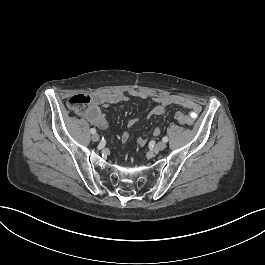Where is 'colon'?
Here are the masks:
<instances>
[{
	"instance_id": "colon-1",
	"label": "colon",
	"mask_w": 265,
	"mask_h": 265,
	"mask_svg": "<svg viewBox=\"0 0 265 265\" xmlns=\"http://www.w3.org/2000/svg\"><path fill=\"white\" fill-rule=\"evenodd\" d=\"M91 101V98L89 96V94L85 93V92H81L71 98H69L67 105L69 107V109L73 110V111H77L79 109H81L82 107H85L87 105H89ZM176 119L179 123L187 125L190 123V118L183 114V113H177L176 114ZM111 130H114L115 128L113 127H109Z\"/></svg>"
}]
</instances>
